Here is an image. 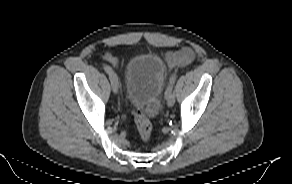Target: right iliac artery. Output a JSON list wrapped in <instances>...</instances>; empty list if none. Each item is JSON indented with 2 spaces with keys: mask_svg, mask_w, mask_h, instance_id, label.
I'll use <instances>...</instances> for the list:
<instances>
[{
  "mask_svg": "<svg viewBox=\"0 0 292 184\" xmlns=\"http://www.w3.org/2000/svg\"><path fill=\"white\" fill-rule=\"evenodd\" d=\"M104 70L106 73H108L109 75L113 72L112 68L108 65L104 66Z\"/></svg>",
  "mask_w": 292,
  "mask_h": 184,
  "instance_id": "82829eb1",
  "label": "right iliac artery"
}]
</instances>
